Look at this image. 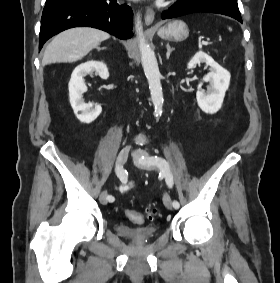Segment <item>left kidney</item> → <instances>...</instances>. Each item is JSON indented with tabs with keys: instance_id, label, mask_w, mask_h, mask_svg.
I'll list each match as a JSON object with an SVG mask.
<instances>
[{
	"instance_id": "obj_1",
	"label": "left kidney",
	"mask_w": 280,
	"mask_h": 283,
	"mask_svg": "<svg viewBox=\"0 0 280 283\" xmlns=\"http://www.w3.org/2000/svg\"><path fill=\"white\" fill-rule=\"evenodd\" d=\"M205 63L210 66V72L205 75L203 82H209L207 91L202 90V84L199 83L196 92L198 106L202 111L208 114L216 113L222 106L225 93L230 84V73L221 67L212 57L199 51L189 61L187 68L192 69L195 65Z\"/></svg>"
}]
</instances>
